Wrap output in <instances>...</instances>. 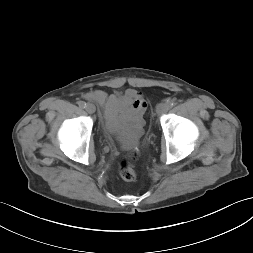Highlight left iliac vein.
Segmentation results:
<instances>
[{
  "label": "left iliac vein",
  "mask_w": 253,
  "mask_h": 253,
  "mask_svg": "<svg viewBox=\"0 0 253 253\" xmlns=\"http://www.w3.org/2000/svg\"><path fill=\"white\" fill-rule=\"evenodd\" d=\"M168 109H169V106L167 103H160L156 107V112L158 115H161V114L167 112Z\"/></svg>",
  "instance_id": "4c4485c4"
}]
</instances>
